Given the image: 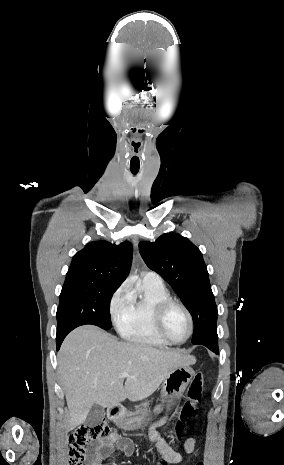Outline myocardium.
Here are the masks:
<instances>
[{"label": "myocardium", "instance_id": "obj_1", "mask_svg": "<svg viewBox=\"0 0 284 465\" xmlns=\"http://www.w3.org/2000/svg\"><path fill=\"white\" fill-rule=\"evenodd\" d=\"M173 307H180L187 315L188 321H189V331L187 336L181 340V341H173L171 340L165 333L164 330V324H165V319L168 314V312L173 308ZM154 327L157 335L167 344L169 345H182L186 343L192 336L193 331H194V319L189 311V309L182 303L170 299V300H165L163 301L157 308L156 315H155V321H154Z\"/></svg>", "mask_w": 284, "mask_h": 465}]
</instances>
